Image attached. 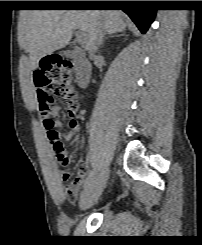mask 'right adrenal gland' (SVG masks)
Instances as JSON below:
<instances>
[{
    "label": "right adrenal gland",
    "mask_w": 202,
    "mask_h": 245,
    "mask_svg": "<svg viewBox=\"0 0 202 245\" xmlns=\"http://www.w3.org/2000/svg\"><path fill=\"white\" fill-rule=\"evenodd\" d=\"M122 35H124V34H120V35H118V34H112V35H109L108 37H106V38H105V40H106V39H108V38L119 37V36H122ZM105 40H103V42H102V44H101V45H103V44H104Z\"/></svg>",
    "instance_id": "1"
}]
</instances>
